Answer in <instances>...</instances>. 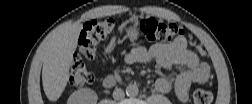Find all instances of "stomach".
I'll return each mask as SVG.
<instances>
[{"label":"stomach","instance_id":"0dacf381","mask_svg":"<svg viewBox=\"0 0 252 104\" xmlns=\"http://www.w3.org/2000/svg\"><path fill=\"white\" fill-rule=\"evenodd\" d=\"M126 34L131 41H135L139 37V31L137 28V24L134 23L125 28Z\"/></svg>","mask_w":252,"mask_h":104}]
</instances>
